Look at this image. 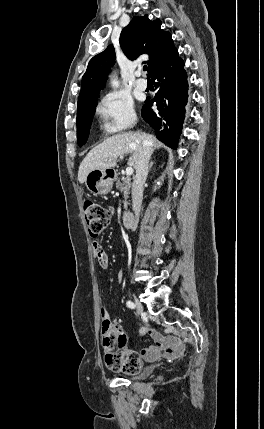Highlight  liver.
I'll return each instance as SVG.
<instances>
[{
  "label": "liver",
  "instance_id": "obj_1",
  "mask_svg": "<svg viewBox=\"0 0 264 429\" xmlns=\"http://www.w3.org/2000/svg\"><path fill=\"white\" fill-rule=\"evenodd\" d=\"M144 143L151 150L158 144L154 136L142 132H125L105 139L94 147L81 162L78 171L79 182L84 183L87 174L92 170L115 167L117 158L128 153L132 154L128 165L136 169Z\"/></svg>",
  "mask_w": 264,
  "mask_h": 429
}]
</instances>
